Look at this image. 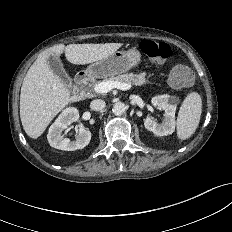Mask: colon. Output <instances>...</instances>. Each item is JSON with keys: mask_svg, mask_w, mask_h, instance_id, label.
Returning a JSON list of instances; mask_svg holds the SVG:
<instances>
[{"mask_svg": "<svg viewBox=\"0 0 232 232\" xmlns=\"http://www.w3.org/2000/svg\"><path fill=\"white\" fill-rule=\"evenodd\" d=\"M140 49L153 61H164L172 55L171 47L165 42L143 40ZM169 81L176 88L187 87L193 82V74L187 66L176 64L170 71Z\"/></svg>", "mask_w": 232, "mask_h": 232, "instance_id": "obj_1", "label": "colon"}]
</instances>
